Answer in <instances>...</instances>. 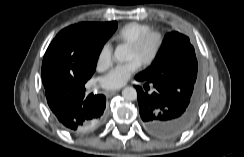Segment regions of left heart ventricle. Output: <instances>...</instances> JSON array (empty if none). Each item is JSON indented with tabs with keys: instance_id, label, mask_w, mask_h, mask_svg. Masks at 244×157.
<instances>
[{
	"instance_id": "1",
	"label": "left heart ventricle",
	"mask_w": 244,
	"mask_h": 157,
	"mask_svg": "<svg viewBox=\"0 0 244 157\" xmlns=\"http://www.w3.org/2000/svg\"><path fill=\"white\" fill-rule=\"evenodd\" d=\"M155 45L156 40L152 38L148 40L146 44L139 50H133L131 48H128L127 60L135 59L141 63L145 58H147L151 54Z\"/></svg>"
}]
</instances>
